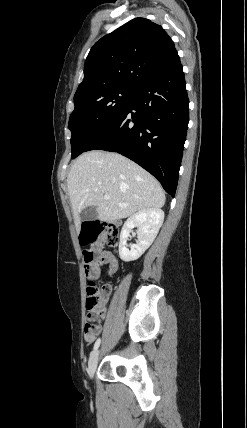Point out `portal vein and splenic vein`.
Wrapping results in <instances>:
<instances>
[{"mask_svg": "<svg viewBox=\"0 0 247 428\" xmlns=\"http://www.w3.org/2000/svg\"><path fill=\"white\" fill-rule=\"evenodd\" d=\"M104 199L108 200V199H110V196L109 195H105ZM118 205L121 206V207L125 206V204H122V203H119Z\"/></svg>", "mask_w": 247, "mask_h": 428, "instance_id": "portal-vein-and-splenic-vein-1", "label": "portal vein and splenic vein"}]
</instances>
